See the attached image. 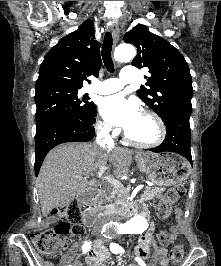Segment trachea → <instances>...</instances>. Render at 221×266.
Returning <instances> with one entry per match:
<instances>
[{
	"label": "trachea",
	"instance_id": "3493384b",
	"mask_svg": "<svg viewBox=\"0 0 221 266\" xmlns=\"http://www.w3.org/2000/svg\"><path fill=\"white\" fill-rule=\"evenodd\" d=\"M112 45H113L112 35L110 32H106L102 44L101 53L104 65L110 73L114 72V65L111 58Z\"/></svg>",
	"mask_w": 221,
	"mask_h": 266
}]
</instances>
